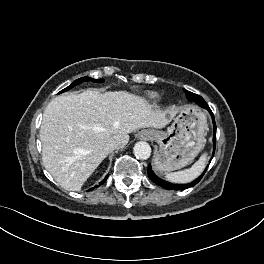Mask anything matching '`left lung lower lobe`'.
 <instances>
[{
    "instance_id": "left-lung-lower-lobe-1",
    "label": "left lung lower lobe",
    "mask_w": 264,
    "mask_h": 264,
    "mask_svg": "<svg viewBox=\"0 0 264 264\" xmlns=\"http://www.w3.org/2000/svg\"><path fill=\"white\" fill-rule=\"evenodd\" d=\"M196 101H198L196 103H198L201 107L206 108L210 112V114L212 116L213 126H214V136H213V143H214L213 155H214L215 147H216V124H215L214 115H213L212 111L210 110V108L206 106V103L203 102L202 97L201 98L199 97L198 99H196ZM147 172H148V176H149L150 180H152L157 185H160L161 187H164V188L170 189V190H183V189H186V188H189V187H192V186L196 185L201 180V178L203 177V175L205 174L206 169L203 172V174L199 178H197L195 181H193L192 183H189V184H181V185L171 184V183H168V182H166L164 180L159 179L153 173V171L151 170V165L148 166Z\"/></svg>"
}]
</instances>
